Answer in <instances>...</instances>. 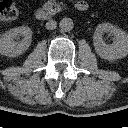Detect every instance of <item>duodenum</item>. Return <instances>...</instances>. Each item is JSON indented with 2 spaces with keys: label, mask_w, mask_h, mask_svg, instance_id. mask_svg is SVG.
<instances>
[{
  "label": "duodenum",
  "mask_w": 128,
  "mask_h": 128,
  "mask_svg": "<svg viewBox=\"0 0 128 128\" xmlns=\"http://www.w3.org/2000/svg\"><path fill=\"white\" fill-rule=\"evenodd\" d=\"M75 9L79 12H85L88 9V4L85 0H78L75 3ZM35 16L39 20L47 21L53 17V13L49 9L41 7L36 10Z\"/></svg>",
  "instance_id": "obj_1"
}]
</instances>
